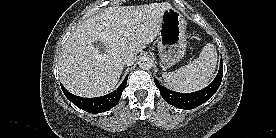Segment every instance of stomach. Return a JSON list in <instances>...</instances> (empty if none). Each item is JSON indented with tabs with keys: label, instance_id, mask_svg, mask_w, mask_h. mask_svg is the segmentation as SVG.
Wrapping results in <instances>:
<instances>
[{
	"label": "stomach",
	"instance_id": "obj_1",
	"mask_svg": "<svg viewBox=\"0 0 276 138\" xmlns=\"http://www.w3.org/2000/svg\"><path fill=\"white\" fill-rule=\"evenodd\" d=\"M186 24L185 17L174 7L164 10L158 33L159 56L164 69L174 66L185 54Z\"/></svg>",
	"mask_w": 276,
	"mask_h": 138
}]
</instances>
